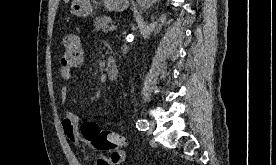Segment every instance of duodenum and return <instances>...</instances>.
I'll list each match as a JSON object with an SVG mask.
<instances>
[{"instance_id": "obj_1", "label": "duodenum", "mask_w": 276, "mask_h": 165, "mask_svg": "<svg viewBox=\"0 0 276 165\" xmlns=\"http://www.w3.org/2000/svg\"><path fill=\"white\" fill-rule=\"evenodd\" d=\"M106 72L110 79L117 77L119 72L118 63L114 58H109L106 64Z\"/></svg>"}]
</instances>
